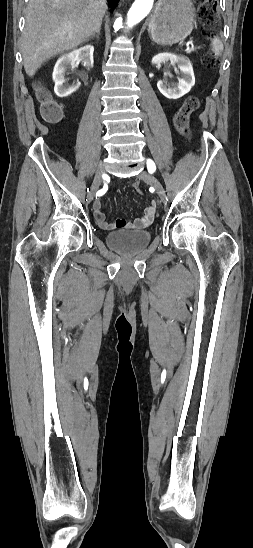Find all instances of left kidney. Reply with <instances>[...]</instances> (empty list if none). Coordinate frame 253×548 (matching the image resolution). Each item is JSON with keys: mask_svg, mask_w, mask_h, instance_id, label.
I'll list each match as a JSON object with an SVG mask.
<instances>
[{"mask_svg": "<svg viewBox=\"0 0 253 548\" xmlns=\"http://www.w3.org/2000/svg\"><path fill=\"white\" fill-rule=\"evenodd\" d=\"M170 61L180 69L182 76L178 84H167L163 81L157 82V87L162 95L168 99H178L188 93L195 84V76L190 60L184 56H177L171 53H160L152 58V64L161 65Z\"/></svg>", "mask_w": 253, "mask_h": 548, "instance_id": "1", "label": "left kidney"}]
</instances>
